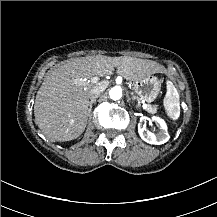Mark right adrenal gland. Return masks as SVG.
I'll return each mask as SVG.
<instances>
[{"instance_id":"right-adrenal-gland-1","label":"right adrenal gland","mask_w":217,"mask_h":217,"mask_svg":"<svg viewBox=\"0 0 217 217\" xmlns=\"http://www.w3.org/2000/svg\"><path fill=\"white\" fill-rule=\"evenodd\" d=\"M94 103H96V99L91 100V101L89 102V111L92 109V105H93Z\"/></svg>"}]
</instances>
